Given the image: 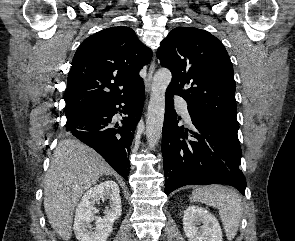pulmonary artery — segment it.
<instances>
[{
	"instance_id": "e3ab8cb5",
	"label": "pulmonary artery",
	"mask_w": 295,
	"mask_h": 241,
	"mask_svg": "<svg viewBox=\"0 0 295 241\" xmlns=\"http://www.w3.org/2000/svg\"><path fill=\"white\" fill-rule=\"evenodd\" d=\"M175 103H176L178 109L180 110L183 118L187 122H190L191 118H190V114H189V111H188V103L179 96L175 97Z\"/></svg>"
}]
</instances>
